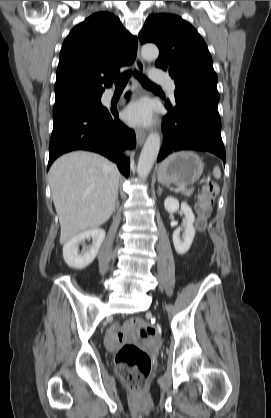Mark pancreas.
<instances>
[{"instance_id": "obj_1", "label": "pancreas", "mask_w": 271, "mask_h": 418, "mask_svg": "<svg viewBox=\"0 0 271 418\" xmlns=\"http://www.w3.org/2000/svg\"><path fill=\"white\" fill-rule=\"evenodd\" d=\"M179 191L185 196H190L193 193L194 188H187L185 186H181Z\"/></svg>"}]
</instances>
